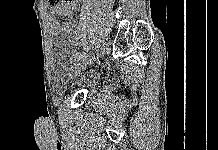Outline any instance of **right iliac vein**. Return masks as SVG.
<instances>
[{
    "label": "right iliac vein",
    "mask_w": 218,
    "mask_h": 150,
    "mask_svg": "<svg viewBox=\"0 0 218 150\" xmlns=\"http://www.w3.org/2000/svg\"><path fill=\"white\" fill-rule=\"evenodd\" d=\"M91 52L92 51L90 49H88L84 55L79 57V59L82 60L83 65H85L87 63V58L86 57H89Z\"/></svg>",
    "instance_id": "1"
}]
</instances>
